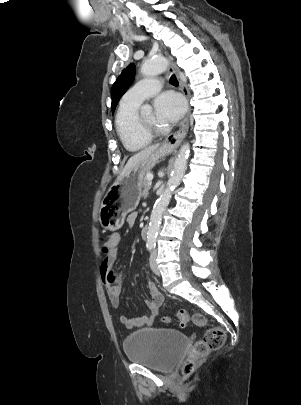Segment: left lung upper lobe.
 <instances>
[{
	"mask_svg": "<svg viewBox=\"0 0 301 405\" xmlns=\"http://www.w3.org/2000/svg\"><path fill=\"white\" fill-rule=\"evenodd\" d=\"M135 75V65L130 64L126 69L122 71L116 82L112 86V112H114L120 98L127 91L132 84Z\"/></svg>",
	"mask_w": 301,
	"mask_h": 405,
	"instance_id": "5c2ea615",
	"label": "left lung upper lobe"
}]
</instances>
